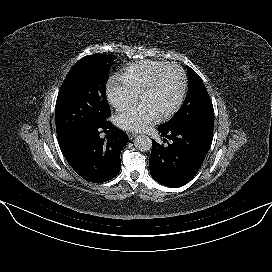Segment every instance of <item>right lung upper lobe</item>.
Returning a JSON list of instances; mask_svg holds the SVG:
<instances>
[{
    "label": "right lung upper lobe",
    "mask_w": 272,
    "mask_h": 272,
    "mask_svg": "<svg viewBox=\"0 0 272 272\" xmlns=\"http://www.w3.org/2000/svg\"><path fill=\"white\" fill-rule=\"evenodd\" d=\"M58 141H59L60 147H63L64 145H66L68 143L69 139L58 140Z\"/></svg>",
    "instance_id": "right-lung-upper-lobe-1"
}]
</instances>
